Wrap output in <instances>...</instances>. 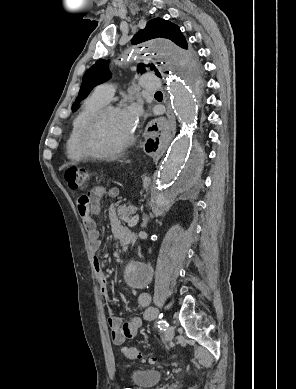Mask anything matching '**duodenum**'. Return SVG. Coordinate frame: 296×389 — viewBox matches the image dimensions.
<instances>
[{
    "instance_id": "duodenum-1",
    "label": "duodenum",
    "mask_w": 296,
    "mask_h": 389,
    "mask_svg": "<svg viewBox=\"0 0 296 389\" xmlns=\"http://www.w3.org/2000/svg\"><path fill=\"white\" fill-rule=\"evenodd\" d=\"M131 238L130 237H123L121 240H120V242H121V244H122V246H123V248L125 249V248H127V246L131 243Z\"/></svg>"
}]
</instances>
